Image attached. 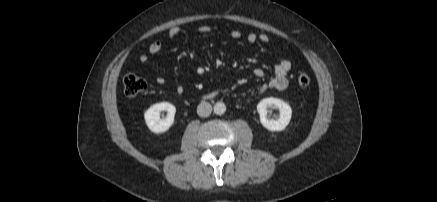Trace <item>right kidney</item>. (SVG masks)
I'll return each mask as SVG.
<instances>
[{
	"instance_id": "ca27d5eb",
	"label": "right kidney",
	"mask_w": 437,
	"mask_h": 202,
	"mask_svg": "<svg viewBox=\"0 0 437 202\" xmlns=\"http://www.w3.org/2000/svg\"><path fill=\"white\" fill-rule=\"evenodd\" d=\"M167 111L165 118L161 119V112ZM176 108L168 102H161L152 105L144 114L146 125L154 133L166 132L174 123Z\"/></svg>"
}]
</instances>
